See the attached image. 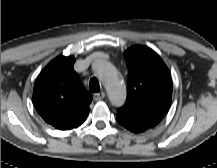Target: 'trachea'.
<instances>
[{"instance_id":"1","label":"trachea","mask_w":217,"mask_h":168,"mask_svg":"<svg viewBox=\"0 0 217 168\" xmlns=\"http://www.w3.org/2000/svg\"><path fill=\"white\" fill-rule=\"evenodd\" d=\"M89 85H90V91L92 93H96V92L100 91V85H99V82L96 78H94V77L91 78Z\"/></svg>"}]
</instances>
